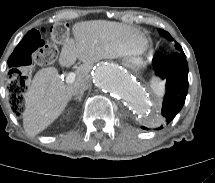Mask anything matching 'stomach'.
Here are the masks:
<instances>
[{
  "label": "stomach",
  "instance_id": "stomach-1",
  "mask_svg": "<svg viewBox=\"0 0 215 183\" xmlns=\"http://www.w3.org/2000/svg\"><path fill=\"white\" fill-rule=\"evenodd\" d=\"M125 63L132 68H140L143 64L141 58L136 56H129L124 58Z\"/></svg>",
  "mask_w": 215,
  "mask_h": 183
}]
</instances>
